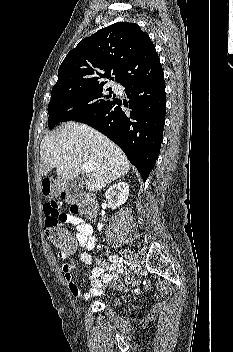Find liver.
Masks as SVG:
<instances>
[{"label":"liver","mask_w":233,"mask_h":352,"mask_svg":"<svg viewBox=\"0 0 233 352\" xmlns=\"http://www.w3.org/2000/svg\"><path fill=\"white\" fill-rule=\"evenodd\" d=\"M41 174L47 176L56 168L58 176L68 181L77 178L84 163L93 171L86 188L99 191L112 181L127 174L130 163L123 151L110 139L92 127L67 122L53 135H46L40 146Z\"/></svg>","instance_id":"1"}]
</instances>
